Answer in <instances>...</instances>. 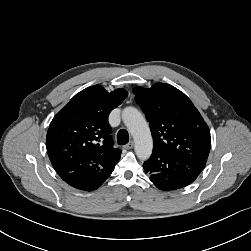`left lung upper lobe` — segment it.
I'll use <instances>...</instances> for the list:
<instances>
[{
	"label": "left lung upper lobe",
	"mask_w": 251,
	"mask_h": 251,
	"mask_svg": "<svg viewBox=\"0 0 251 251\" xmlns=\"http://www.w3.org/2000/svg\"><path fill=\"white\" fill-rule=\"evenodd\" d=\"M133 92L149 121L153 152L207 161L210 130L184 93L165 83H157L150 89L135 87Z\"/></svg>",
	"instance_id": "obj_1"
}]
</instances>
